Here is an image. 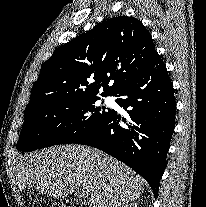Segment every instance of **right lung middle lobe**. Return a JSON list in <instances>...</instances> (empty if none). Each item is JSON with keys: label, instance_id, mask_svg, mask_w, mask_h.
Returning a JSON list of instances; mask_svg holds the SVG:
<instances>
[{"label": "right lung middle lobe", "instance_id": "1", "mask_svg": "<svg viewBox=\"0 0 206 207\" xmlns=\"http://www.w3.org/2000/svg\"><path fill=\"white\" fill-rule=\"evenodd\" d=\"M98 99L91 96L52 101L25 111L17 149L29 152L75 143L98 127L112 112L107 107H96L94 104Z\"/></svg>", "mask_w": 206, "mask_h": 207}]
</instances>
